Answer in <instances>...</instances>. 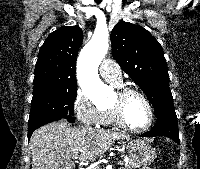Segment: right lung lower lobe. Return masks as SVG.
<instances>
[{
	"instance_id": "right-lung-lower-lobe-1",
	"label": "right lung lower lobe",
	"mask_w": 200,
	"mask_h": 169,
	"mask_svg": "<svg viewBox=\"0 0 200 169\" xmlns=\"http://www.w3.org/2000/svg\"><path fill=\"white\" fill-rule=\"evenodd\" d=\"M67 119V121L69 122H74V118L72 116L68 117V118H65ZM57 120H61L60 118H50V119H43V120H37V121H33L32 123H29L28 125V139H30L32 133L39 127L47 124V123H50V122H53V121H57Z\"/></svg>"
}]
</instances>
